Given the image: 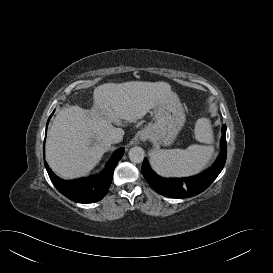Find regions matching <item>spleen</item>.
<instances>
[{
  "mask_svg": "<svg viewBox=\"0 0 273 273\" xmlns=\"http://www.w3.org/2000/svg\"><path fill=\"white\" fill-rule=\"evenodd\" d=\"M195 138L204 143H213V131L209 119L200 118L195 125ZM210 145L193 144L187 149L158 150L152 153L154 169L163 175H191L205 167L213 154Z\"/></svg>",
  "mask_w": 273,
  "mask_h": 273,
  "instance_id": "1",
  "label": "spleen"
}]
</instances>
